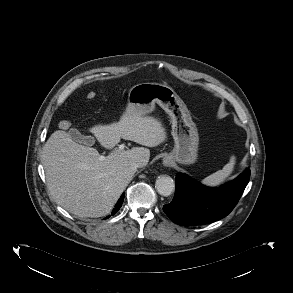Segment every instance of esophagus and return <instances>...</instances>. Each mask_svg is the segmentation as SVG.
I'll use <instances>...</instances> for the list:
<instances>
[{"instance_id": "esophagus-1", "label": "esophagus", "mask_w": 293, "mask_h": 293, "mask_svg": "<svg viewBox=\"0 0 293 293\" xmlns=\"http://www.w3.org/2000/svg\"><path fill=\"white\" fill-rule=\"evenodd\" d=\"M163 164H164L165 166H170L171 162H170L169 159L164 158V160H163Z\"/></svg>"}]
</instances>
